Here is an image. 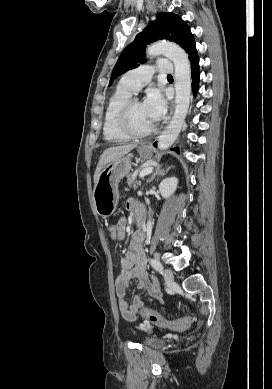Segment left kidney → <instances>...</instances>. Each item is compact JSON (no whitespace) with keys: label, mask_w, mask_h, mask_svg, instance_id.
Returning a JSON list of instances; mask_svg holds the SVG:
<instances>
[{"label":"left kidney","mask_w":272,"mask_h":389,"mask_svg":"<svg viewBox=\"0 0 272 389\" xmlns=\"http://www.w3.org/2000/svg\"><path fill=\"white\" fill-rule=\"evenodd\" d=\"M178 179L176 177L165 178L159 184V191L163 198H169L177 189Z\"/></svg>","instance_id":"left-kidney-1"}]
</instances>
